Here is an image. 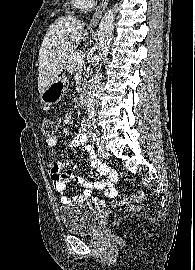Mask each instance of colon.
Segmentation results:
<instances>
[{"label":"colon","mask_w":195,"mask_h":270,"mask_svg":"<svg viewBox=\"0 0 195 270\" xmlns=\"http://www.w3.org/2000/svg\"><path fill=\"white\" fill-rule=\"evenodd\" d=\"M40 129H41L42 134L45 137L49 138V137L54 135L55 124L51 119L43 118L40 121ZM143 197H144L143 193L140 191H137L133 195H131L127 198H124L121 201V203L122 204H136V203H139L140 201H142ZM132 208H135V206H133Z\"/></svg>","instance_id":"5ec220e1"}]
</instances>
